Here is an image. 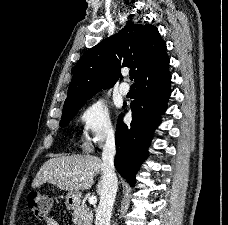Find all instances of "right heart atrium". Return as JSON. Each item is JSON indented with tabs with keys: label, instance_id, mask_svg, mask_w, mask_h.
<instances>
[{
	"label": "right heart atrium",
	"instance_id": "1",
	"mask_svg": "<svg viewBox=\"0 0 228 225\" xmlns=\"http://www.w3.org/2000/svg\"><path fill=\"white\" fill-rule=\"evenodd\" d=\"M79 122L82 140L87 145L100 146L114 138L115 131L109 109L100 101L86 105L79 113Z\"/></svg>",
	"mask_w": 228,
	"mask_h": 225
}]
</instances>
